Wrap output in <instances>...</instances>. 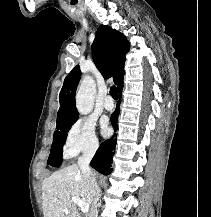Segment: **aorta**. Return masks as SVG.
I'll return each mask as SVG.
<instances>
[{
	"instance_id": "aorta-1",
	"label": "aorta",
	"mask_w": 211,
	"mask_h": 217,
	"mask_svg": "<svg viewBox=\"0 0 211 217\" xmlns=\"http://www.w3.org/2000/svg\"><path fill=\"white\" fill-rule=\"evenodd\" d=\"M96 85L91 76L86 75L76 93V107L80 114L90 113L94 106Z\"/></svg>"
}]
</instances>
